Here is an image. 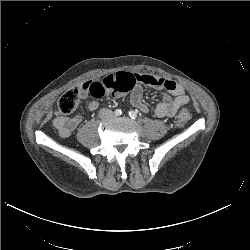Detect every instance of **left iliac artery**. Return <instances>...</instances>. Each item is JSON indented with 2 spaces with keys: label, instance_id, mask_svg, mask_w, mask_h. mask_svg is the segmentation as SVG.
<instances>
[{
  "label": "left iliac artery",
  "instance_id": "1",
  "mask_svg": "<svg viewBox=\"0 0 250 250\" xmlns=\"http://www.w3.org/2000/svg\"><path fill=\"white\" fill-rule=\"evenodd\" d=\"M129 116L132 118V119H136L137 118V113L135 111H129Z\"/></svg>",
  "mask_w": 250,
  "mask_h": 250
}]
</instances>
